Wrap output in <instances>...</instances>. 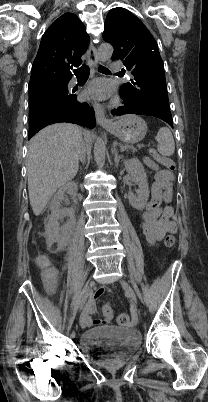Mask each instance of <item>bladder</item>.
<instances>
[{"label":"bladder","instance_id":"31cf9c89","mask_svg":"<svg viewBox=\"0 0 208 402\" xmlns=\"http://www.w3.org/2000/svg\"><path fill=\"white\" fill-rule=\"evenodd\" d=\"M80 341L82 347L90 352L93 363L118 364L140 347L141 337L132 329L95 326L84 331Z\"/></svg>","mask_w":208,"mask_h":402}]
</instances>
